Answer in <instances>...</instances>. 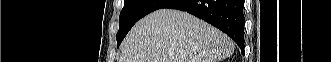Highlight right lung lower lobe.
<instances>
[{
  "mask_svg": "<svg viewBox=\"0 0 331 62\" xmlns=\"http://www.w3.org/2000/svg\"><path fill=\"white\" fill-rule=\"evenodd\" d=\"M164 8L186 11L210 23L244 51V0H172Z\"/></svg>",
  "mask_w": 331,
  "mask_h": 62,
  "instance_id": "1",
  "label": "right lung lower lobe"
}]
</instances>
